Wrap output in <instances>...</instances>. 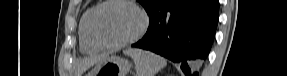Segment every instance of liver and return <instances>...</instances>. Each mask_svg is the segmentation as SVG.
<instances>
[{"mask_svg": "<svg viewBox=\"0 0 287 76\" xmlns=\"http://www.w3.org/2000/svg\"><path fill=\"white\" fill-rule=\"evenodd\" d=\"M103 59H105L104 56L101 57H91V58H85L83 59L77 67L76 70V76H81V74H83L86 70H88L91 66H93L94 64L102 61Z\"/></svg>", "mask_w": 287, "mask_h": 76, "instance_id": "obj_1", "label": "liver"}]
</instances>
